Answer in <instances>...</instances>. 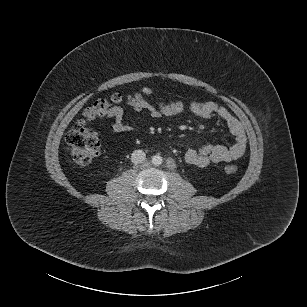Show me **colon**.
I'll list each match as a JSON object with an SVG mask.
<instances>
[{"label":"colon","mask_w":307,"mask_h":307,"mask_svg":"<svg viewBox=\"0 0 307 307\" xmlns=\"http://www.w3.org/2000/svg\"><path fill=\"white\" fill-rule=\"evenodd\" d=\"M129 96L115 94L109 99H99L90 107L84 110V119L78 121L67 133L66 141L70 146L71 155L74 161L80 165L89 164L101 150V142L98 133L87 123L102 117L113 108L120 106ZM238 170L236 165H226L225 172L234 174Z\"/></svg>","instance_id":"1"}]
</instances>
